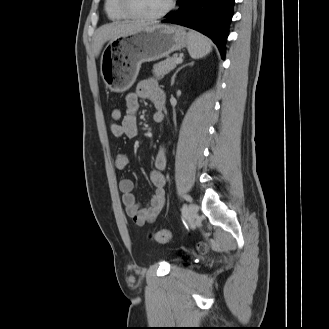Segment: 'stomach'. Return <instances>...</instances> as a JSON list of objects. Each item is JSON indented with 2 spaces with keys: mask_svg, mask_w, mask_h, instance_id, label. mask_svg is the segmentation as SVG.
<instances>
[{
  "mask_svg": "<svg viewBox=\"0 0 329 329\" xmlns=\"http://www.w3.org/2000/svg\"><path fill=\"white\" fill-rule=\"evenodd\" d=\"M187 44L183 28L164 24L113 38L101 55L102 79L111 91L124 92L135 82L142 63L159 60Z\"/></svg>",
  "mask_w": 329,
  "mask_h": 329,
  "instance_id": "stomach-1",
  "label": "stomach"
}]
</instances>
